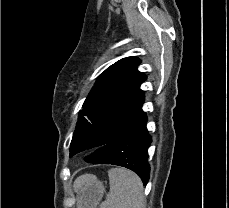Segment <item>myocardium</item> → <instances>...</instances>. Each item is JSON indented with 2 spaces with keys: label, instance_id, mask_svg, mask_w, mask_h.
<instances>
[{
  "label": "myocardium",
  "instance_id": "1",
  "mask_svg": "<svg viewBox=\"0 0 229 208\" xmlns=\"http://www.w3.org/2000/svg\"><path fill=\"white\" fill-rule=\"evenodd\" d=\"M107 143L105 141H99L91 147V152L97 153L106 147Z\"/></svg>",
  "mask_w": 229,
  "mask_h": 208
}]
</instances>
